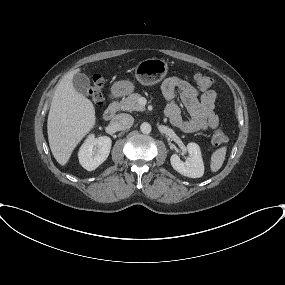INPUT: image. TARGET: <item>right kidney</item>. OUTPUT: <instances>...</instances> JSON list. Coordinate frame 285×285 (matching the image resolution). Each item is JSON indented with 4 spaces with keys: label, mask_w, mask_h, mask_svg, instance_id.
Returning <instances> with one entry per match:
<instances>
[{
    "label": "right kidney",
    "mask_w": 285,
    "mask_h": 285,
    "mask_svg": "<svg viewBox=\"0 0 285 285\" xmlns=\"http://www.w3.org/2000/svg\"><path fill=\"white\" fill-rule=\"evenodd\" d=\"M112 141L108 136L95 138L90 135L82 144L78 158L81 166L93 171L99 167L109 156Z\"/></svg>",
    "instance_id": "obj_1"
}]
</instances>
